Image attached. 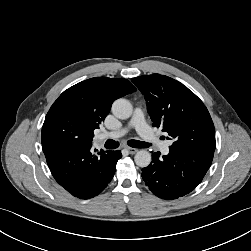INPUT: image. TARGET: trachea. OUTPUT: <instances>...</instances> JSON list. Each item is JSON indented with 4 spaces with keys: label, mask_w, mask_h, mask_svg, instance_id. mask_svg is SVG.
Listing matches in <instances>:
<instances>
[{
    "label": "trachea",
    "mask_w": 251,
    "mask_h": 251,
    "mask_svg": "<svg viewBox=\"0 0 251 251\" xmlns=\"http://www.w3.org/2000/svg\"><path fill=\"white\" fill-rule=\"evenodd\" d=\"M128 145L130 147H133V148H147L149 147V144L148 143H145V142H142V141H137V140H129L128 142ZM119 146V142H116L112 139H108L106 142H105V147L107 149H115Z\"/></svg>",
    "instance_id": "3493384b"
}]
</instances>
